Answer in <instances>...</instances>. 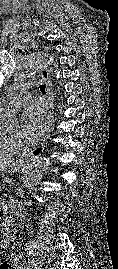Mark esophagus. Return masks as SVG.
<instances>
[{
  "label": "esophagus",
  "instance_id": "obj_1",
  "mask_svg": "<svg viewBox=\"0 0 118 269\" xmlns=\"http://www.w3.org/2000/svg\"><path fill=\"white\" fill-rule=\"evenodd\" d=\"M41 78L44 81L46 85V98L49 102V122L45 129V135L43 137V140L39 146L31 150L29 153L22 155L20 157V161H28V160H35L37 159L42 152L44 151L45 145L47 144V138L49 137L52 127L51 122L53 120V110L55 108L54 105V94H53V86H52V80L50 71L48 69H43L40 72Z\"/></svg>",
  "mask_w": 118,
  "mask_h": 269
}]
</instances>
